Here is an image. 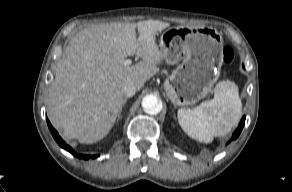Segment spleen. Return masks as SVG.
Segmentation results:
<instances>
[{
	"instance_id": "obj_1",
	"label": "spleen",
	"mask_w": 292,
	"mask_h": 192,
	"mask_svg": "<svg viewBox=\"0 0 292 192\" xmlns=\"http://www.w3.org/2000/svg\"><path fill=\"white\" fill-rule=\"evenodd\" d=\"M241 114L238 86L227 80L216 84L212 100L204 101L194 109L180 108L177 117L188 136L210 143L214 137L228 134L240 120Z\"/></svg>"
}]
</instances>
